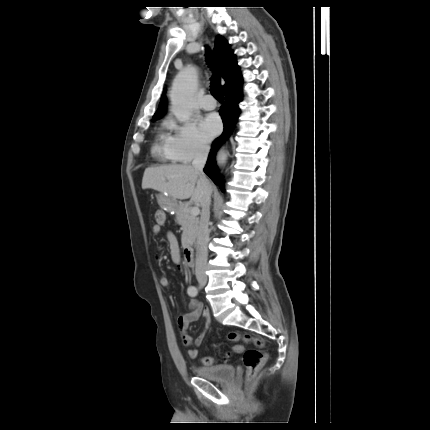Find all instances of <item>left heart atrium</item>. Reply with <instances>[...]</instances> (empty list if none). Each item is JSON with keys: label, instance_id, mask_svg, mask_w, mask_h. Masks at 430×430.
<instances>
[{"label": "left heart atrium", "instance_id": "left-heart-atrium-1", "mask_svg": "<svg viewBox=\"0 0 430 430\" xmlns=\"http://www.w3.org/2000/svg\"><path fill=\"white\" fill-rule=\"evenodd\" d=\"M200 129L207 140L214 138L221 129V122L216 114L206 115L200 122Z\"/></svg>", "mask_w": 430, "mask_h": 430}]
</instances>
